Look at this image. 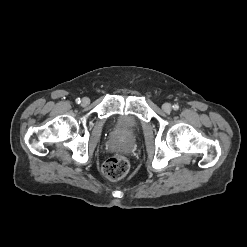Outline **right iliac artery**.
Instances as JSON below:
<instances>
[{"label": "right iliac artery", "mask_w": 247, "mask_h": 247, "mask_svg": "<svg viewBox=\"0 0 247 247\" xmlns=\"http://www.w3.org/2000/svg\"><path fill=\"white\" fill-rule=\"evenodd\" d=\"M75 101L77 104H79L81 102L80 98H77Z\"/></svg>", "instance_id": "obj_1"}]
</instances>
